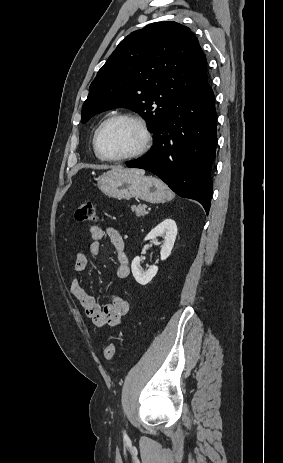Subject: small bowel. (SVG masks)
Masks as SVG:
<instances>
[{
    "label": "small bowel",
    "mask_w": 283,
    "mask_h": 463,
    "mask_svg": "<svg viewBox=\"0 0 283 463\" xmlns=\"http://www.w3.org/2000/svg\"><path fill=\"white\" fill-rule=\"evenodd\" d=\"M89 232L92 241L88 244L87 249H79L75 253L74 270L76 274L85 271L88 264V256H99L101 253V241L108 237L116 251L117 267L115 275L119 279H125L129 276L130 267L129 259L125 252V243L122 235L115 228L91 226ZM70 294L80 303L85 311L86 316L98 327L118 326L121 319L130 310V301L122 296L111 294L110 301L100 306L93 296L84 288L82 280L75 275L70 283Z\"/></svg>",
    "instance_id": "c3829d8e"
}]
</instances>
